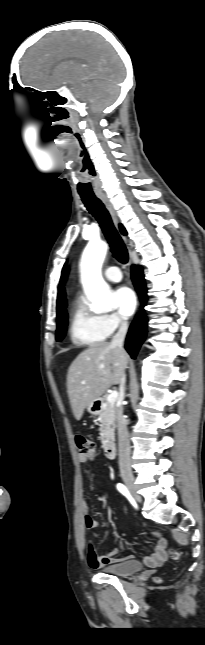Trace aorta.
Segmentation results:
<instances>
[{
    "label": "aorta",
    "instance_id": "762f6f07",
    "mask_svg": "<svg viewBox=\"0 0 205 645\" xmlns=\"http://www.w3.org/2000/svg\"><path fill=\"white\" fill-rule=\"evenodd\" d=\"M107 252L105 242H90L81 260V278L85 293L95 312H108L114 306L110 290L101 275V267Z\"/></svg>",
    "mask_w": 205,
    "mask_h": 645
}]
</instances>
